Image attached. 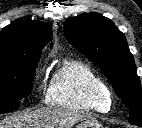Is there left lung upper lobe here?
<instances>
[{"mask_svg":"<svg viewBox=\"0 0 142 128\" xmlns=\"http://www.w3.org/2000/svg\"><path fill=\"white\" fill-rule=\"evenodd\" d=\"M66 39L104 72L130 110L128 121L142 126V90L124 34L108 18L83 13L64 23Z\"/></svg>","mask_w":142,"mask_h":128,"instance_id":"obj_1","label":"left lung upper lobe"}]
</instances>
